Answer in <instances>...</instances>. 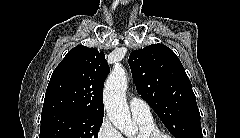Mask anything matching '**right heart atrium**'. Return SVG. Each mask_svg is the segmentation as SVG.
<instances>
[{
  "mask_svg": "<svg viewBox=\"0 0 240 138\" xmlns=\"http://www.w3.org/2000/svg\"><path fill=\"white\" fill-rule=\"evenodd\" d=\"M96 136L97 138H123L118 129L107 117L100 123Z\"/></svg>",
  "mask_w": 240,
  "mask_h": 138,
  "instance_id": "1",
  "label": "right heart atrium"
}]
</instances>
